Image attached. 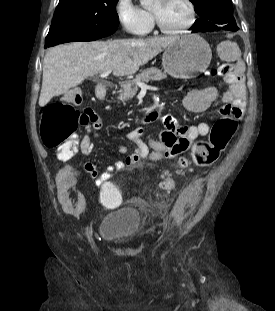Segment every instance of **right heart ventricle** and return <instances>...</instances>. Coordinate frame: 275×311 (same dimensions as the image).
<instances>
[{
	"instance_id": "obj_1",
	"label": "right heart ventricle",
	"mask_w": 275,
	"mask_h": 311,
	"mask_svg": "<svg viewBox=\"0 0 275 311\" xmlns=\"http://www.w3.org/2000/svg\"><path fill=\"white\" fill-rule=\"evenodd\" d=\"M143 11H144L145 13H147L148 15H150V16H151V18H152V15H151V13H150L149 11L144 10V9H143Z\"/></svg>"
}]
</instances>
